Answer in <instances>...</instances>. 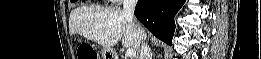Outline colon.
<instances>
[{
	"mask_svg": "<svg viewBox=\"0 0 261 59\" xmlns=\"http://www.w3.org/2000/svg\"><path fill=\"white\" fill-rule=\"evenodd\" d=\"M78 58L79 59H97V53L94 51L93 48L84 46L79 49Z\"/></svg>",
	"mask_w": 261,
	"mask_h": 59,
	"instance_id": "5ec220e1",
	"label": "colon"
}]
</instances>
